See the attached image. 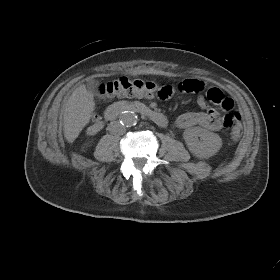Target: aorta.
<instances>
[{"mask_svg":"<svg viewBox=\"0 0 280 280\" xmlns=\"http://www.w3.org/2000/svg\"><path fill=\"white\" fill-rule=\"evenodd\" d=\"M137 122V116L132 111H125L120 116V123L124 126L130 127Z\"/></svg>","mask_w":280,"mask_h":280,"instance_id":"762f6f07","label":"aorta"}]
</instances>
